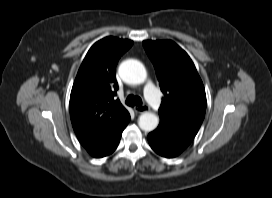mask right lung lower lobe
<instances>
[{"instance_id": "98d812e1", "label": "right lung lower lobe", "mask_w": 272, "mask_h": 198, "mask_svg": "<svg viewBox=\"0 0 272 198\" xmlns=\"http://www.w3.org/2000/svg\"><path fill=\"white\" fill-rule=\"evenodd\" d=\"M130 121V115L127 112L119 121H117L103 136L94 143L85 146V149L93 157H104L117 148L122 132Z\"/></svg>"}]
</instances>
